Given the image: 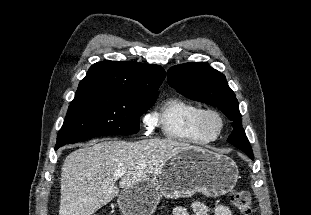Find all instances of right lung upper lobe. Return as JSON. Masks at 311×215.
Here are the masks:
<instances>
[{
    "label": "right lung upper lobe",
    "instance_id": "right-lung-upper-lobe-1",
    "mask_svg": "<svg viewBox=\"0 0 311 215\" xmlns=\"http://www.w3.org/2000/svg\"><path fill=\"white\" fill-rule=\"evenodd\" d=\"M165 75V70L159 65L106 60L90 67L78 90L158 97L157 90Z\"/></svg>",
    "mask_w": 311,
    "mask_h": 215
}]
</instances>
